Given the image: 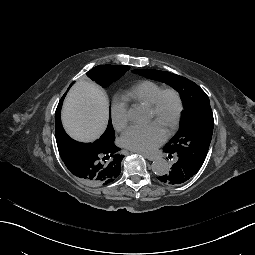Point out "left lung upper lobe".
Here are the masks:
<instances>
[{"mask_svg": "<svg viewBox=\"0 0 255 255\" xmlns=\"http://www.w3.org/2000/svg\"><path fill=\"white\" fill-rule=\"evenodd\" d=\"M132 72L164 82L180 93L185 107L181 126L163 151L169 154L170 159L174 155L192 163L199 170L206 158L214 127L213 113L206 93L191 80L167 71L137 69Z\"/></svg>", "mask_w": 255, "mask_h": 255, "instance_id": "obj_1", "label": "left lung upper lobe"}]
</instances>
